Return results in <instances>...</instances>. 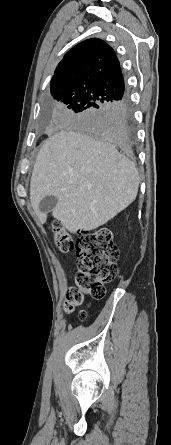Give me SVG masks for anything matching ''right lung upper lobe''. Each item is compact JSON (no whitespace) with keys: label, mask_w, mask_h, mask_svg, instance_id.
<instances>
[{"label":"right lung upper lobe","mask_w":171,"mask_h":445,"mask_svg":"<svg viewBox=\"0 0 171 445\" xmlns=\"http://www.w3.org/2000/svg\"><path fill=\"white\" fill-rule=\"evenodd\" d=\"M51 94L87 91L104 101L122 100L127 95L114 50L98 38L88 39L68 51L51 79Z\"/></svg>","instance_id":"right-lung-upper-lobe-1"}]
</instances>
